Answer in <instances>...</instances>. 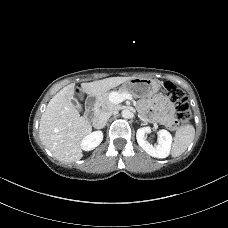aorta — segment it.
I'll return each instance as SVG.
<instances>
[{"label": "aorta", "mask_w": 228, "mask_h": 228, "mask_svg": "<svg viewBox=\"0 0 228 228\" xmlns=\"http://www.w3.org/2000/svg\"><path fill=\"white\" fill-rule=\"evenodd\" d=\"M132 112L129 109L122 110V117L125 119L131 118Z\"/></svg>", "instance_id": "obj_1"}]
</instances>
